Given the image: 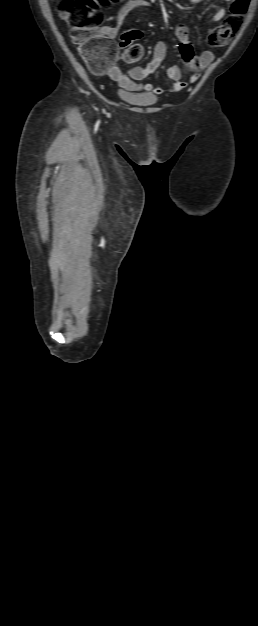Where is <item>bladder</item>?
Returning a JSON list of instances; mask_svg holds the SVG:
<instances>
[{
  "mask_svg": "<svg viewBox=\"0 0 258 626\" xmlns=\"http://www.w3.org/2000/svg\"><path fill=\"white\" fill-rule=\"evenodd\" d=\"M118 96L124 102L140 107L152 106L157 102V97L151 93L119 90Z\"/></svg>",
  "mask_w": 258,
  "mask_h": 626,
  "instance_id": "1",
  "label": "bladder"
}]
</instances>
